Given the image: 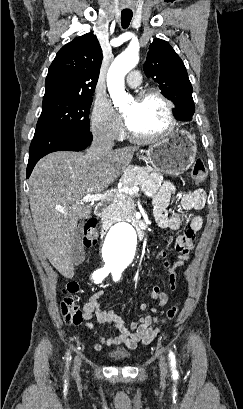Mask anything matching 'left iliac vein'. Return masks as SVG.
Instances as JSON below:
<instances>
[{"label":"left iliac vein","mask_w":243,"mask_h":409,"mask_svg":"<svg viewBox=\"0 0 243 409\" xmlns=\"http://www.w3.org/2000/svg\"><path fill=\"white\" fill-rule=\"evenodd\" d=\"M159 366H160L161 376L166 377V375H167V364H166L165 358L163 356H161V358H160Z\"/></svg>","instance_id":"left-iliac-vein-1"}]
</instances>
